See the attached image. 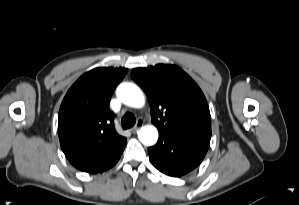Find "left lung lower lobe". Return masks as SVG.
<instances>
[{"label":"left lung lower lobe","mask_w":299,"mask_h":205,"mask_svg":"<svg viewBox=\"0 0 299 205\" xmlns=\"http://www.w3.org/2000/svg\"><path fill=\"white\" fill-rule=\"evenodd\" d=\"M210 140L180 135L159 136L148 148L150 160L162 173L180 177L196 168L205 157Z\"/></svg>","instance_id":"0a47b994"}]
</instances>
